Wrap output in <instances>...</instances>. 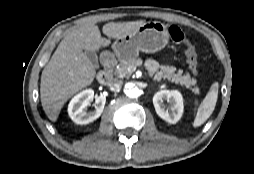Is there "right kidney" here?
I'll return each mask as SVG.
<instances>
[{"instance_id": "1", "label": "right kidney", "mask_w": 254, "mask_h": 174, "mask_svg": "<svg viewBox=\"0 0 254 174\" xmlns=\"http://www.w3.org/2000/svg\"><path fill=\"white\" fill-rule=\"evenodd\" d=\"M94 98V91L86 89L75 95L68 105V114L76 124H88L99 118L103 112L106 98L99 96L95 101V110L87 112V107Z\"/></svg>"}]
</instances>
